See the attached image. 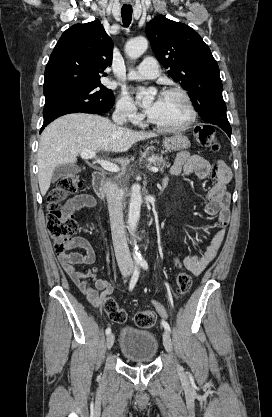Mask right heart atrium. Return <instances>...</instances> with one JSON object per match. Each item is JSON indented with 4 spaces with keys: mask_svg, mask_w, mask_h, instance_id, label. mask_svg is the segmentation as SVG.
Instances as JSON below:
<instances>
[{
    "mask_svg": "<svg viewBox=\"0 0 272 417\" xmlns=\"http://www.w3.org/2000/svg\"><path fill=\"white\" fill-rule=\"evenodd\" d=\"M116 115L127 122L137 123L141 119V115L139 114L134 102L132 99L126 94L122 93L116 103Z\"/></svg>",
    "mask_w": 272,
    "mask_h": 417,
    "instance_id": "right-heart-atrium-1",
    "label": "right heart atrium"
}]
</instances>
